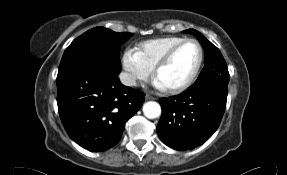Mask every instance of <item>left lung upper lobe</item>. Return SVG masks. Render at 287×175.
I'll return each instance as SVG.
<instances>
[{"label": "left lung upper lobe", "instance_id": "left-lung-upper-lobe-1", "mask_svg": "<svg viewBox=\"0 0 287 175\" xmlns=\"http://www.w3.org/2000/svg\"><path fill=\"white\" fill-rule=\"evenodd\" d=\"M184 33L193 34L200 41L205 50V66L190 88L197 89L204 86H220L227 88L230 76L220 50L194 29L185 30Z\"/></svg>", "mask_w": 287, "mask_h": 175}]
</instances>
